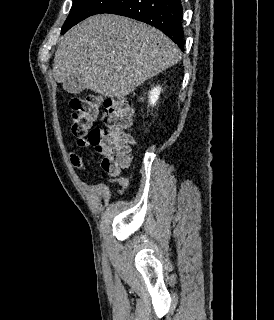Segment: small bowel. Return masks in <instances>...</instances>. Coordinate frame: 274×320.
I'll return each instance as SVG.
<instances>
[{
    "label": "small bowel",
    "instance_id": "small-bowel-1",
    "mask_svg": "<svg viewBox=\"0 0 274 320\" xmlns=\"http://www.w3.org/2000/svg\"><path fill=\"white\" fill-rule=\"evenodd\" d=\"M77 147L78 148H85V147H88L90 146V143L87 139L85 138H82V139H79L76 143ZM69 159H70V162L71 164L79 169V170H85L86 169V166L84 164V161L82 159V156L80 155V153L76 150H73L69 153Z\"/></svg>",
    "mask_w": 274,
    "mask_h": 320
}]
</instances>
